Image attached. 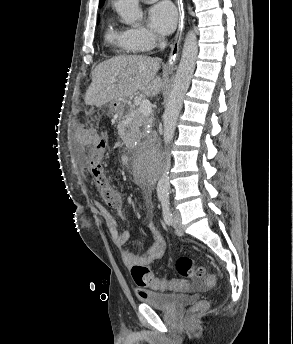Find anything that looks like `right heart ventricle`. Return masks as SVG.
Wrapping results in <instances>:
<instances>
[{
  "label": "right heart ventricle",
  "mask_w": 293,
  "mask_h": 344,
  "mask_svg": "<svg viewBox=\"0 0 293 344\" xmlns=\"http://www.w3.org/2000/svg\"><path fill=\"white\" fill-rule=\"evenodd\" d=\"M105 40L113 47L122 53H135L130 45L127 43L123 30H119L112 22H109L105 31Z\"/></svg>",
  "instance_id": "e07e8e85"
}]
</instances>
